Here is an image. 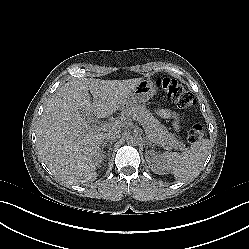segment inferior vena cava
Masks as SVG:
<instances>
[{"instance_id": "inferior-vena-cava-1", "label": "inferior vena cava", "mask_w": 249, "mask_h": 249, "mask_svg": "<svg viewBox=\"0 0 249 249\" xmlns=\"http://www.w3.org/2000/svg\"><path fill=\"white\" fill-rule=\"evenodd\" d=\"M119 135V131L118 129H113V130H109L107 131V133H104L102 135V139L103 140H115Z\"/></svg>"}]
</instances>
